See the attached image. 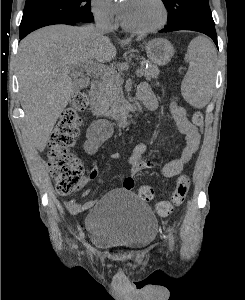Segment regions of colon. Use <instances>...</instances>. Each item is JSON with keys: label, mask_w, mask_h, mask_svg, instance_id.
Returning a JSON list of instances; mask_svg holds the SVG:
<instances>
[{"label": "colon", "mask_w": 245, "mask_h": 300, "mask_svg": "<svg viewBox=\"0 0 245 300\" xmlns=\"http://www.w3.org/2000/svg\"><path fill=\"white\" fill-rule=\"evenodd\" d=\"M88 101L87 93H76L70 105L61 113L49 138L48 162L57 192L61 195L73 194L86 184L83 164L70 151V148L74 145L79 133L80 114L85 111ZM192 120L198 128L203 126L201 112L196 111ZM189 187L190 177L187 174L180 175L170 200L157 203L156 209L159 215L168 216L176 207L180 206L186 198ZM138 195L142 200L150 201L154 196L153 188L149 185H142L138 189Z\"/></svg>", "instance_id": "colon-1"}]
</instances>
